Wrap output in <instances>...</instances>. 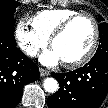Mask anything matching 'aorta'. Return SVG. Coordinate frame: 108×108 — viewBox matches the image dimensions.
Returning a JSON list of instances; mask_svg holds the SVG:
<instances>
[{
	"label": "aorta",
	"mask_w": 108,
	"mask_h": 108,
	"mask_svg": "<svg viewBox=\"0 0 108 108\" xmlns=\"http://www.w3.org/2000/svg\"><path fill=\"white\" fill-rule=\"evenodd\" d=\"M45 91L54 93L58 90V82L54 78H46L43 82Z\"/></svg>",
	"instance_id": "1"
}]
</instances>
